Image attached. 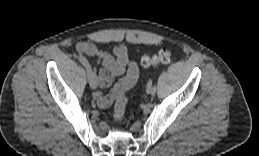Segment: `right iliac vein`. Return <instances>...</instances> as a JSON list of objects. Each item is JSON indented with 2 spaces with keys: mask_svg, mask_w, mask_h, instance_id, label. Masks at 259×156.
<instances>
[{
  "mask_svg": "<svg viewBox=\"0 0 259 156\" xmlns=\"http://www.w3.org/2000/svg\"><path fill=\"white\" fill-rule=\"evenodd\" d=\"M89 85L92 89H95L97 87V77L93 71H91V74L89 77Z\"/></svg>",
  "mask_w": 259,
  "mask_h": 156,
  "instance_id": "obj_1",
  "label": "right iliac vein"
}]
</instances>
